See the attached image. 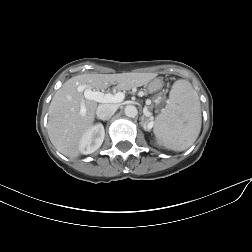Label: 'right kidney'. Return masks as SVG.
Wrapping results in <instances>:
<instances>
[{"instance_id":"right-kidney-1","label":"right kidney","mask_w":252,"mask_h":252,"mask_svg":"<svg viewBox=\"0 0 252 252\" xmlns=\"http://www.w3.org/2000/svg\"><path fill=\"white\" fill-rule=\"evenodd\" d=\"M105 137V130L102 124L92 126L82 136L79 143V150L82 154H91L98 150L102 145Z\"/></svg>"}]
</instances>
